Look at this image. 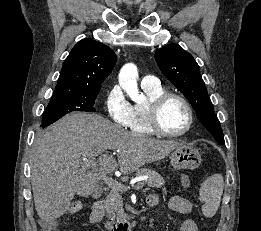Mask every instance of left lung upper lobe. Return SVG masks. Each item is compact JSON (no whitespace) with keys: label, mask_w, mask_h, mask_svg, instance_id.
<instances>
[{"label":"left lung upper lobe","mask_w":261,"mask_h":231,"mask_svg":"<svg viewBox=\"0 0 261 231\" xmlns=\"http://www.w3.org/2000/svg\"><path fill=\"white\" fill-rule=\"evenodd\" d=\"M155 59L166 78L189 100L201 123L220 144H225L220 122L192 55L172 43L157 50Z\"/></svg>","instance_id":"5c2ea615"}]
</instances>
